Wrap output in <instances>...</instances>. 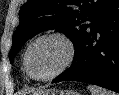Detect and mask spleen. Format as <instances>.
Here are the masks:
<instances>
[{"label":"spleen","mask_w":119,"mask_h":95,"mask_svg":"<svg viewBox=\"0 0 119 95\" xmlns=\"http://www.w3.org/2000/svg\"><path fill=\"white\" fill-rule=\"evenodd\" d=\"M88 88L91 91L92 95H119L115 92H111L109 90L94 85H89Z\"/></svg>","instance_id":"spleen-1"}]
</instances>
